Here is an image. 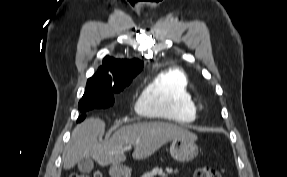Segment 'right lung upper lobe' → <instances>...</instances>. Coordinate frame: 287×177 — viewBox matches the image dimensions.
Listing matches in <instances>:
<instances>
[{"label":"right lung upper lobe","mask_w":287,"mask_h":177,"mask_svg":"<svg viewBox=\"0 0 287 177\" xmlns=\"http://www.w3.org/2000/svg\"><path fill=\"white\" fill-rule=\"evenodd\" d=\"M143 63L138 59L118 60L106 56L103 66L88 80L103 86H114L121 83L131 82L142 70Z\"/></svg>","instance_id":"obj_1"}]
</instances>
